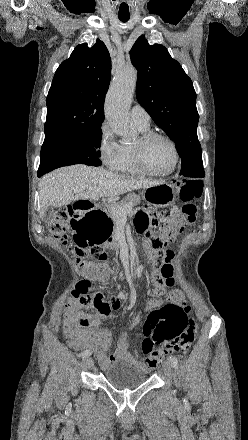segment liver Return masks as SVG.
Instances as JSON below:
<instances>
[{
    "label": "liver",
    "mask_w": 248,
    "mask_h": 440,
    "mask_svg": "<svg viewBox=\"0 0 248 440\" xmlns=\"http://www.w3.org/2000/svg\"><path fill=\"white\" fill-rule=\"evenodd\" d=\"M161 183L118 175L103 168L83 164L62 167L41 178L40 217L43 218L49 206L62 207L73 201L93 200L100 197L117 201L120 195L126 192L147 189ZM76 190L80 191L75 192Z\"/></svg>",
    "instance_id": "liver-1"
}]
</instances>
